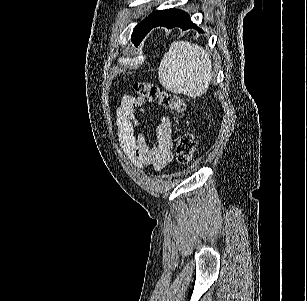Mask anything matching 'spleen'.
I'll return each mask as SVG.
<instances>
[{"mask_svg": "<svg viewBox=\"0 0 307 301\" xmlns=\"http://www.w3.org/2000/svg\"><path fill=\"white\" fill-rule=\"evenodd\" d=\"M212 60L203 46L189 40H174L165 52L158 70L166 90L197 98L205 94L212 80Z\"/></svg>", "mask_w": 307, "mask_h": 301, "instance_id": "obj_1", "label": "spleen"}]
</instances>
